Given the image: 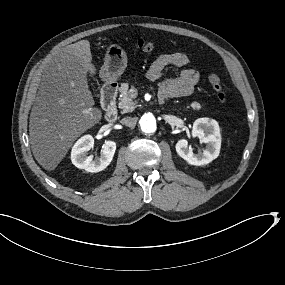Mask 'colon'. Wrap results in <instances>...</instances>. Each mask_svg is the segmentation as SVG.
I'll return each instance as SVG.
<instances>
[{
    "label": "colon",
    "mask_w": 285,
    "mask_h": 285,
    "mask_svg": "<svg viewBox=\"0 0 285 285\" xmlns=\"http://www.w3.org/2000/svg\"><path fill=\"white\" fill-rule=\"evenodd\" d=\"M137 47L143 52L151 53L155 51L156 43L145 39H139L137 41ZM208 81L211 84L213 90L215 91L217 99L221 103H225L227 101V94L225 92L221 78L216 74L211 73L208 75Z\"/></svg>",
    "instance_id": "5ec220e1"
}]
</instances>
